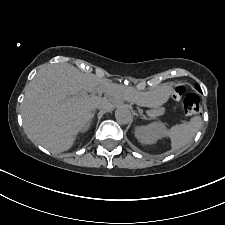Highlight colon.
Here are the masks:
<instances>
[{"instance_id":"5ec220e1","label":"colon","mask_w":225,"mask_h":225,"mask_svg":"<svg viewBox=\"0 0 225 225\" xmlns=\"http://www.w3.org/2000/svg\"><path fill=\"white\" fill-rule=\"evenodd\" d=\"M188 86L184 83H177L173 86L172 96L176 100L181 101V107L183 111L188 115H197L201 111V100L200 97L195 94L185 95Z\"/></svg>"}]
</instances>
